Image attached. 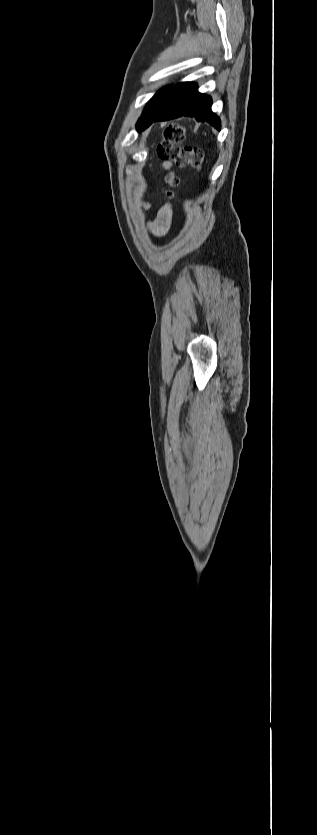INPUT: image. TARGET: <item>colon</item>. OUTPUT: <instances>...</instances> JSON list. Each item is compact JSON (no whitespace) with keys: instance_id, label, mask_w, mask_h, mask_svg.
I'll return each mask as SVG.
<instances>
[{"instance_id":"obj_1","label":"colon","mask_w":317,"mask_h":835,"mask_svg":"<svg viewBox=\"0 0 317 835\" xmlns=\"http://www.w3.org/2000/svg\"><path fill=\"white\" fill-rule=\"evenodd\" d=\"M185 138V129L181 125L168 126L163 135L162 141L157 147L158 157L164 162H174L178 167H192L200 170L204 162V153L200 148L181 146ZM168 185L165 190L167 197H172L174 188L177 187L179 179L174 174L166 177Z\"/></svg>"}]
</instances>
